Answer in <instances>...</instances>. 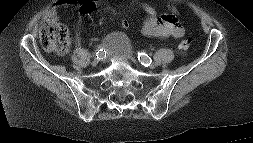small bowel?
Instances as JSON below:
<instances>
[{"label": "small bowel", "mask_w": 253, "mask_h": 143, "mask_svg": "<svg viewBox=\"0 0 253 143\" xmlns=\"http://www.w3.org/2000/svg\"><path fill=\"white\" fill-rule=\"evenodd\" d=\"M98 2L99 0H57L55 5L49 9L46 20L57 22V11L63 6H78L80 19H83L94 11ZM142 7L146 14L142 27L143 35L157 38H180L184 35L183 27L177 22L172 13L158 14L155 8L148 3H144ZM120 26L122 28L127 27L128 21L122 19ZM77 38H79L78 33Z\"/></svg>", "instance_id": "obj_1"}]
</instances>
